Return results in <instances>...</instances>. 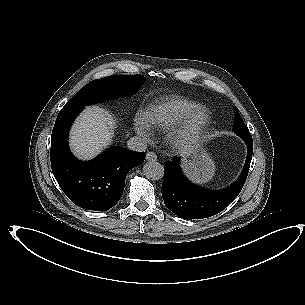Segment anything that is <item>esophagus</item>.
Returning a JSON list of instances; mask_svg holds the SVG:
<instances>
[{
    "mask_svg": "<svg viewBox=\"0 0 305 305\" xmlns=\"http://www.w3.org/2000/svg\"><path fill=\"white\" fill-rule=\"evenodd\" d=\"M146 159L150 161H154L156 159V155L153 152H148L146 155Z\"/></svg>",
    "mask_w": 305,
    "mask_h": 305,
    "instance_id": "34e87169",
    "label": "esophagus"
}]
</instances>
